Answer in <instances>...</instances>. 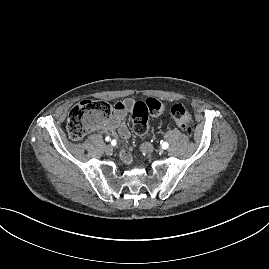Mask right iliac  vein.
Segmentation results:
<instances>
[{
    "mask_svg": "<svg viewBox=\"0 0 269 269\" xmlns=\"http://www.w3.org/2000/svg\"><path fill=\"white\" fill-rule=\"evenodd\" d=\"M105 151H106V153H111L113 151V147L108 144L105 146Z\"/></svg>",
    "mask_w": 269,
    "mask_h": 269,
    "instance_id": "1",
    "label": "right iliac vein"
}]
</instances>
